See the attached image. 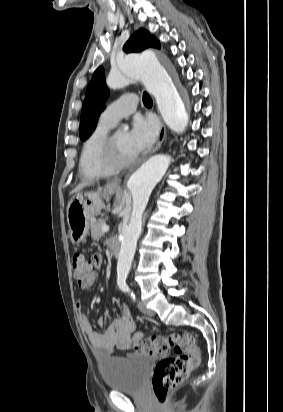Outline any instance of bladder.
Here are the masks:
<instances>
[{"label": "bladder", "mask_w": 283, "mask_h": 412, "mask_svg": "<svg viewBox=\"0 0 283 412\" xmlns=\"http://www.w3.org/2000/svg\"><path fill=\"white\" fill-rule=\"evenodd\" d=\"M149 365L127 359H110L101 363L105 387L121 392H140L144 389Z\"/></svg>", "instance_id": "bladder-1"}]
</instances>
